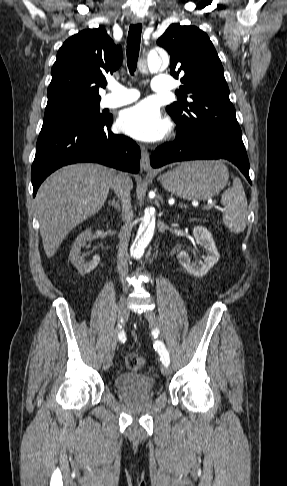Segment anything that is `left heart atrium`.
Masks as SVG:
<instances>
[{"mask_svg": "<svg viewBox=\"0 0 287 486\" xmlns=\"http://www.w3.org/2000/svg\"><path fill=\"white\" fill-rule=\"evenodd\" d=\"M119 125L126 134L142 141L159 140L168 130V123L162 119L158 108L149 102L126 109Z\"/></svg>", "mask_w": 287, "mask_h": 486, "instance_id": "1", "label": "left heart atrium"}]
</instances>
